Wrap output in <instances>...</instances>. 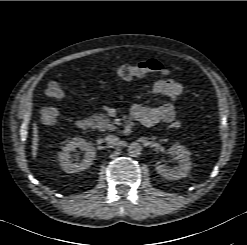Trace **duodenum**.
<instances>
[{
	"mask_svg": "<svg viewBox=\"0 0 247 245\" xmlns=\"http://www.w3.org/2000/svg\"><path fill=\"white\" fill-rule=\"evenodd\" d=\"M133 119L134 117L131 116L127 122L125 123L124 127H123V134L124 135H129L131 133L132 130V126H133ZM91 123L89 121V119L87 118H80L77 121V127L81 130H86L90 127Z\"/></svg>",
	"mask_w": 247,
	"mask_h": 245,
	"instance_id": "duodenum-1",
	"label": "duodenum"
}]
</instances>
